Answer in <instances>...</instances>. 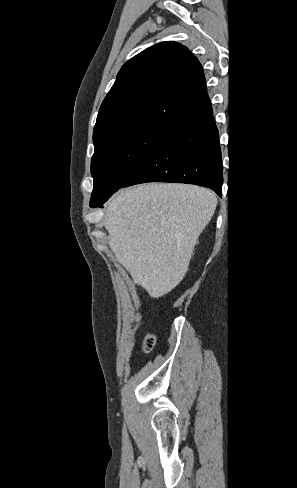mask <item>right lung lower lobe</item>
I'll return each instance as SVG.
<instances>
[{
  "label": "right lung lower lobe",
  "instance_id": "98d812e1",
  "mask_svg": "<svg viewBox=\"0 0 297 488\" xmlns=\"http://www.w3.org/2000/svg\"><path fill=\"white\" fill-rule=\"evenodd\" d=\"M212 114L210 107L171 128L122 187L145 182L189 183L208 187L221 197V150Z\"/></svg>",
  "mask_w": 297,
  "mask_h": 488
}]
</instances>
